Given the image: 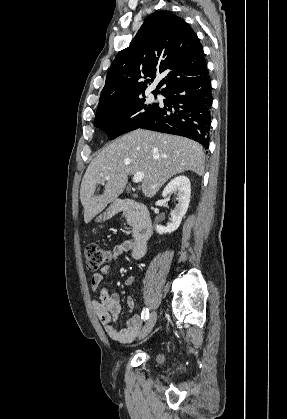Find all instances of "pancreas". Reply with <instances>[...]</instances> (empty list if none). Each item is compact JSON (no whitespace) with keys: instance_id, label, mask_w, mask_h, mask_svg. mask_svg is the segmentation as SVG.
Instances as JSON below:
<instances>
[{"instance_id":"obj_1","label":"pancreas","mask_w":287,"mask_h":419,"mask_svg":"<svg viewBox=\"0 0 287 419\" xmlns=\"http://www.w3.org/2000/svg\"><path fill=\"white\" fill-rule=\"evenodd\" d=\"M126 218H127L128 224H132V222H131V220L129 219V217L127 216ZM126 232H127V231H126Z\"/></svg>"}]
</instances>
